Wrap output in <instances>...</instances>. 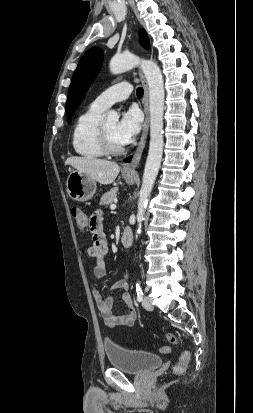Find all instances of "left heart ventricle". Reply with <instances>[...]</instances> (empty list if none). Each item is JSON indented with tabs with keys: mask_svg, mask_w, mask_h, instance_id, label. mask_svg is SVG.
Instances as JSON below:
<instances>
[{
	"mask_svg": "<svg viewBox=\"0 0 253 413\" xmlns=\"http://www.w3.org/2000/svg\"><path fill=\"white\" fill-rule=\"evenodd\" d=\"M104 128L109 136L110 141L115 145V146H121L122 144L118 141L116 137V125L117 122L115 120H109L103 122Z\"/></svg>",
	"mask_w": 253,
	"mask_h": 413,
	"instance_id": "obj_1",
	"label": "left heart ventricle"
}]
</instances>
